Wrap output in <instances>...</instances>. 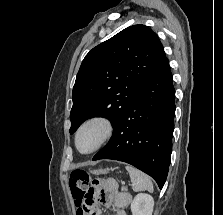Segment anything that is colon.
<instances>
[{
  "label": "colon",
  "mask_w": 223,
  "mask_h": 215,
  "mask_svg": "<svg viewBox=\"0 0 223 215\" xmlns=\"http://www.w3.org/2000/svg\"><path fill=\"white\" fill-rule=\"evenodd\" d=\"M89 181L87 172L83 170H75L69 178V185L74 202L77 207V212L83 215H91L93 207L84 203L86 187Z\"/></svg>",
  "instance_id": "obj_1"
}]
</instances>
